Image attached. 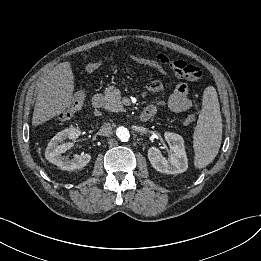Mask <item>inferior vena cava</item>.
Returning a JSON list of instances; mask_svg holds the SVG:
<instances>
[{
	"mask_svg": "<svg viewBox=\"0 0 261 261\" xmlns=\"http://www.w3.org/2000/svg\"><path fill=\"white\" fill-rule=\"evenodd\" d=\"M112 132V126L110 123H104L100 128V135L108 136Z\"/></svg>",
	"mask_w": 261,
	"mask_h": 261,
	"instance_id": "obj_1",
	"label": "inferior vena cava"
}]
</instances>
